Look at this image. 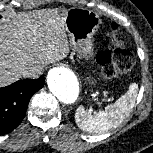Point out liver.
Returning <instances> with one entry per match:
<instances>
[{
    "label": "liver",
    "instance_id": "1",
    "mask_svg": "<svg viewBox=\"0 0 153 153\" xmlns=\"http://www.w3.org/2000/svg\"><path fill=\"white\" fill-rule=\"evenodd\" d=\"M68 52L65 18L39 12L8 15L0 20V86L18 80L28 65H46Z\"/></svg>",
    "mask_w": 153,
    "mask_h": 153
}]
</instances>
